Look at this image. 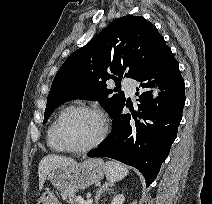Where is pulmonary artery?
Returning a JSON list of instances; mask_svg holds the SVG:
<instances>
[{
    "label": "pulmonary artery",
    "mask_w": 212,
    "mask_h": 204,
    "mask_svg": "<svg viewBox=\"0 0 212 204\" xmlns=\"http://www.w3.org/2000/svg\"><path fill=\"white\" fill-rule=\"evenodd\" d=\"M124 87L126 90L129 92V94L133 95L134 90H135V81L130 78H126L123 80Z\"/></svg>",
    "instance_id": "e3ab8cb5"
}]
</instances>
